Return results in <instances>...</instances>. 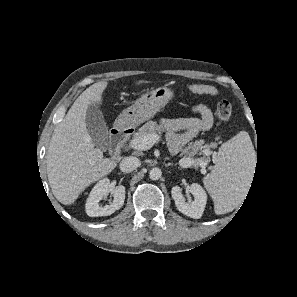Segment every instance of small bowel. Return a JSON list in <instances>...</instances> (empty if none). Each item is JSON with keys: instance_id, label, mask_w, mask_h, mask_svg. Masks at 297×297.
I'll list each match as a JSON object with an SVG mask.
<instances>
[{"instance_id": "c3829d8e", "label": "small bowel", "mask_w": 297, "mask_h": 297, "mask_svg": "<svg viewBox=\"0 0 297 297\" xmlns=\"http://www.w3.org/2000/svg\"><path fill=\"white\" fill-rule=\"evenodd\" d=\"M192 110L200 115V118L161 120V125L166 131L167 144L172 153H178L187 143L213 125L212 113L206 105L197 104Z\"/></svg>"}]
</instances>
